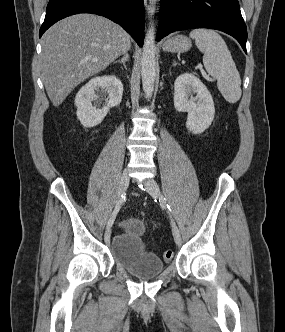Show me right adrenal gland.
<instances>
[{"label": "right adrenal gland", "mask_w": 285, "mask_h": 332, "mask_svg": "<svg viewBox=\"0 0 285 332\" xmlns=\"http://www.w3.org/2000/svg\"><path fill=\"white\" fill-rule=\"evenodd\" d=\"M127 61H129V56H128L127 53H125V54L123 55V57L121 58V60H117V61H115L114 63H117V62L122 63L123 66H124V68L127 69V67H126V62H127Z\"/></svg>", "instance_id": "2a0ac1e0"}]
</instances>
